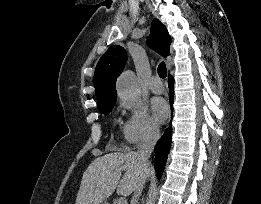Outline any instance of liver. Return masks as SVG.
<instances>
[{"label":"liver","instance_id":"1","mask_svg":"<svg viewBox=\"0 0 261 204\" xmlns=\"http://www.w3.org/2000/svg\"><path fill=\"white\" fill-rule=\"evenodd\" d=\"M122 171H125L122 179ZM153 173L143 169L137 152L109 153L96 158L83 173L76 204H101L117 188L119 195H130L140 182Z\"/></svg>","mask_w":261,"mask_h":204}]
</instances>
